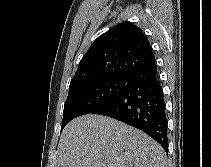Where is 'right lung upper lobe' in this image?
<instances>
[{
    "label": "right lung upper lobe",
    "mask_w": 211,
    "mask_h": 167,
    "mask_svg": "<svg viewBox=\"0 0 211 167\" xmlns=\"http://www.w3.org/2000/svg\"><path fill=\"white\" fill-rule=\"evenodd\" d=\"M155 62L143 31L129 21L99 36L81 59L69 88L109 76L127 77Z\"/></svg>",
    "instance_id": "cb5924a9"
}]
</instances>
